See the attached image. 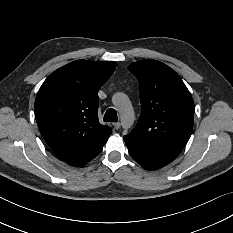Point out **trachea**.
<instances>
[{
	"instance_id": "3493384b",
	"label": "trachea",
	"mask_w": 233,
	"mask_h": 233,
	"mask_svg": "<svg viewBox=\"0 0 233 233\" xmlns=\"http://www.w3.org/2000/svg\"><path fill=\"white\" fill-rule=\"evenodd\" d=\"M103 120L105 122H117L118 121L117 111L113 108L108 109L104 115Z\"/></svg>"
}]
</instances>
